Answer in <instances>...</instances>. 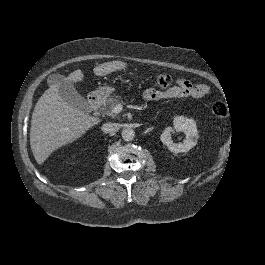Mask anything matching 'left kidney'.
<instances>
[{"label": "left kidney", "mask_w": 265, "mask_h": 265, "mask_svg": "<svg viewBox=\"0 0 265 265\" xmlns=\"http://www.w3.org/2000/svg\"><path fill=\"white\" fill-rule=\"evenodd\" d=\"M173 124L177 132L185 133L186 139L183 143H174L171 138V132L174 129L167 127L160 136L162 143L173 153L188 152L197 144L199 138L196 122L184 116H177L174 118Z\"/></svg>", "instance_id": "left-kidney-1"}]
</instances>
